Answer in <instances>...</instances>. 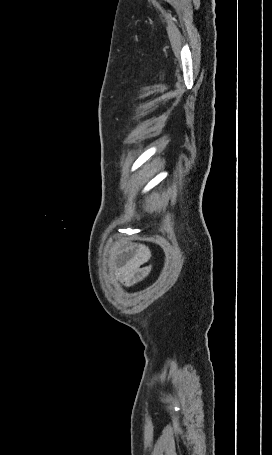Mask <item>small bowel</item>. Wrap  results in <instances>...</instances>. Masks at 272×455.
<instances>
[{
	"instance_id": "obj_1",
	"label": "small bowel",
	"mask_w": 272,
	"mask_h": 455,
	"mask_svg": "<svg viewBox=\"0 0 272 455\" xmlns=\"http://www.w3.org/2000/svg\"><path fill=\"white\" fill-rule=\"evenodd\" d=\"M149 258L150 250L144 244L128 248L118 259L115 269L117 281L125 286H132L145 279L151 272V267L145 265Z\"/></svg>"
}]
</instances>
